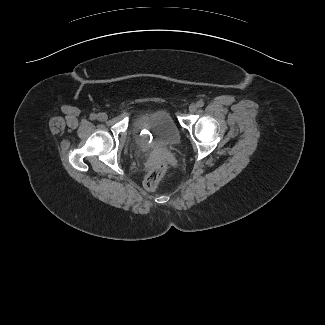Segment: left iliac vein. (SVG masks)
Here are the masks:
<instances>
[{"instance_id":"left-iliac-vein-1","label":"left iliac vein","mask_w":325,"mask_h":325,"mask_svg":"<svg viewBox=\"0 0 325 325\" xmlns=\"http://www.w3.org/2000/svg\"><path fill=\"white\" fill-rule=\"evenodd\" d=\"M197 105L196 104H194V103H192L190 106H189V111L191 112V113H194L196 110H197Z\"/></svg>"}]
</instances>
